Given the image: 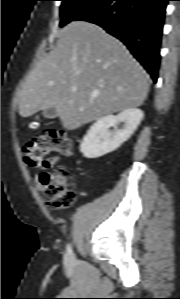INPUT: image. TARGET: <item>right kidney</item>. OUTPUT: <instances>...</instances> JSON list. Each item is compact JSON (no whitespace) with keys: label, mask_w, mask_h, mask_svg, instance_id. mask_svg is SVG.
Wrapping results in <instances>:
<instances>
[{"label":"right kidney","mask_w":180,"mask_h":299,"mask_svg":"<svg viewBox=\"0 0 180 299\" xmlns=\"http://www.w3.org/2000/svg\"><path fill=\"white\" fill-rule=\"evenodd\" d=\"M143 118V112L137 108L122 111L117 116L107 115L98 119L84 136L80 152L84 157L93 159L116 150L137 129ZM120 122L124 126L120 130L111 131Z\"/></svg>","instance_id":"ca27d5eb"}]
</instances>
